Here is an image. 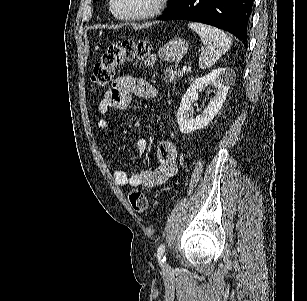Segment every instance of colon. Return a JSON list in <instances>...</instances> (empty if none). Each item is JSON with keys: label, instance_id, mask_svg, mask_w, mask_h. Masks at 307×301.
<instances>
[{"label": "colon", "instance_id": "colon-1", "mask_svg": "<svg viewBox=\"0 0 307 301\" xmlns=\"http://www.w3.org/2000/svg\"><path fill=\"white\" fill-rule=\"evenodd\" d=\"M134 59L143 60L149 68H153L156 62L150 44L146 41L124 40L110 44L93 67L92 81L99 86L109 84L113 79L115 69L120 64ZM129 202L137 212L147 210V196L140 190H132L129 193Z\"/></svg>", "mask_w": 307, "mask_h": 301}]
</instances>
